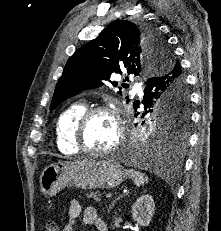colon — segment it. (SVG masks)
<instances>
[{
  "instance_id": "colon-1",
  "label": "colon",
  "mask_w": 221,
  "mask_h": 231,
  "mask_svg": "<svg viewBox=\"0 0 221 231\" xmlns=\"http://www.w3.org/2000/svg\"><path fill=\"white\" fill-rule=\"evenodd\" d=\"M45 231H59V223L57 220H49L46 224Z\"/></svg>"
}]
</instances>
